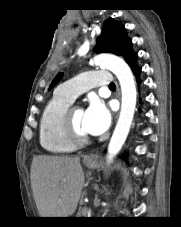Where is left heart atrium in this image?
<instances>
[{"label":"left heart atrium","mask_w":181,"mask_h":227,"mask_svg":"<svg viewBox=\"0 0 181 227\" xmlns=\"http://www.w3.org/2000/svg\"><path fill=\"white\" fill-rule=\"evenodd\" d=\"M111 114L105 104L100 100L90 102L84 111L83 126L90 135H100L110 125Z\"/></svg>","instance_id":"39dd6f15"}]
</instances>
